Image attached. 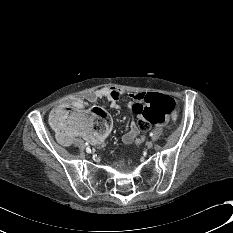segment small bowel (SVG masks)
I'll return each instance as SVG.
<instances>
[{"label": "small bowel", "mask_w": 233, "mask_h": 233, "mask_svg": "<svg viewBox=\"0 0 233 233\" xmlns=\"http://www.w3.org/2000/svg\"><path fill=\"white\" fill-rule=\"evenodd\" d=\"M139 93H130L128 94L130 98L136 97ZM151 94V93H149ZM126 95V92L119 88H101L93 92H89L83 96L72 97L68 100L67 105L71 107L72 113L69 116L73 115L74 111H81L85 109L88 103H94L100 99H106L110 106L113 109L119 110L121 109L120 106V99ZM57 112V108L52 111V114ZM51 114V115H52ZM112 131V121L107 123L104 129L93 135H89L85 130L75 127L74 125L68 126V130L65 133H57L58 140L64 145H70L73 142V139L76 136H81L85 138L88 142L92 145L101 147L106 142L108 136ZM139 133L138 125L135 119H132L130 124V129L122 136V142L124 144H131L133 143Z\"/></svg>", "instance_id": "small-bowel-1"}]
</instances>
